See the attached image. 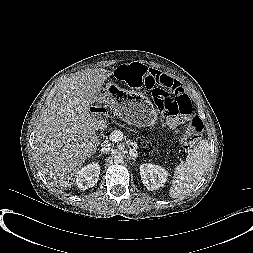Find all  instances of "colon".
<instances>
[{
  "label": "colon",
  "mask_w": 253,
  "mask_h": 253,
  "mask_svg": "<svg viewBox=\"0 0 253 253\" xmlns=\"http://www.w3.org/2000/svg\"><path fill=\"white\" fill-rule=\"evenodd\" d=\"M146 73L145 66L132 63L118 67L116 78L130 87L140 88L143 86ZM152 97L165 117L182 116L187 119L180 142L184 149L194 146L201 138L203 123L195 116L193 103L183 89L158 86L152 90Z\"/></svg>",
  "instance_id": "colon-1"
}]
</instances>
